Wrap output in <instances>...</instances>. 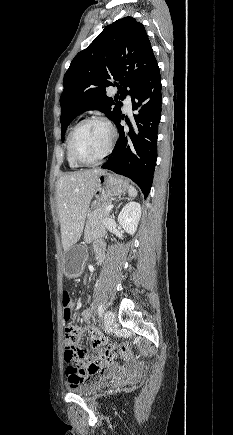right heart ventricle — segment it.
I'll return each mask as SVG.
<instances>
[{
  "mask_svg": "<svg viewBox=\"0 0 233 435\" xmlns=\"http://www.w3.org/2000/svg\"><path fill=\"white\" fill-rule=\"evenodd\" d=\"M66 160H67V164L70 168L72 169H77L79 166L73 161L70 152H69V136L66 142Z\"/></svg>",
  "mask_w": 233,
  "mask_h": 435,
  "instance_id": "1",
  "label": "right heart ventricle"
}]
</instances>
